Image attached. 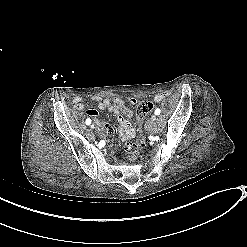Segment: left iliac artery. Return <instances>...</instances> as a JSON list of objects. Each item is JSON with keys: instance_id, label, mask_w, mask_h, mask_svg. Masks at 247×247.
<instances>
[{"instance_id": "left-iliac-artery-1", "label": "left iliac artery", "mask_w": 247, "mask_h": 247, "mask_svg": "<svg viewBox=\"0 0 247 247\" xmlns=\"http://www.w3.org/2000/svg\"><path fill=\"white\" fill-rule=\"evenodd\" d=\"M155 114H156L157 116L160 114V109H159V108H156Z\"/></svg>"}]
</instances>
